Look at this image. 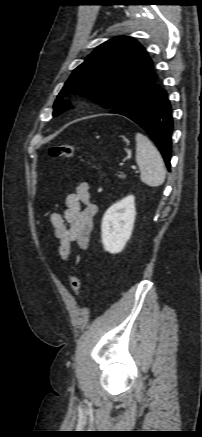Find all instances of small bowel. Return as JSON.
<instances>
[{"mask_svg": "<svg viewBox=\"0 0 202 437\" xmlns=\"http://www.w3.org/2000/svg\"><path fill=\"white\" fill-rule=\"evenodd\" d=\"M90 187L87 182L80 183L75 192L67 195L62 214L52 212L49 220L54 236L59 240V255L66 261L76 244L86 249L93 230V218L97 207L90 200Z\"/></svg>", "mask_w": 202, "mask_h": 437, "instance_id": "1", "label": "small bowel"}]
</instances>
